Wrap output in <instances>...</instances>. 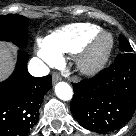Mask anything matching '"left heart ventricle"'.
I'll return each mask as SVG.
<instances>
[{
	"mask_svg": "<svg viewBox=\"0 0 136 136\" xmlns=\"http://www.w3.org/2000/svg\"><path fill=\"white\" fill-rule=\"evenodd\" d=\"M105 44H106V41H103L102 44L100 45L98 51H100L105 46Z\"/></svg>",
	"mask_w": 136,
	"mask_h": 136,
	"instance_id": "left-heart-ventricle-1",
	"label": "left heart ventricle"
}]
</instances>
